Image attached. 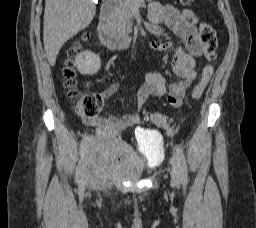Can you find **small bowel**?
<instances>
[{
  "instance_id": "c3829d8e",
  "label": "small bowel",
  "mask_w": 256,
  "mask_h": 228,
  "mask_svg": "<svg viewBox=\"0 0 256 228\" xmlns=\"http://www.w3.org/2000/svg\"><path fill=\"white\" fill-rule=\"evenodd\" d=\"M149 19L153 24H164L171 29L183 40L187 51L177 49L174 52L171 65L180 80L171 83L168 87L160 73L154 71L146 73L144 82L135 90L137 105L142 108L147 98L153 95L158 98H166L170 106L179 108L183 103L186 91L197 77L195 60L203 52V44L198 32L199 19L192 10L178 9L172 5H162L156 2L150 6ZM170 47L171 43L169 42L153 41L150 44V48L157 52L166 51ZM118 90V84H111L102 92V97L109 98ZM86 122L100 131L117 133L139 124L140 116L127 113L121 117L86 118Z\"/></svg>"
}]
</instances>
